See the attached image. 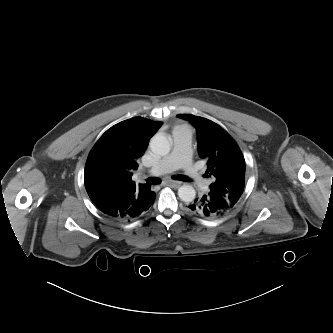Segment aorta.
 I'll list each match as a JSON object with an SVG mask.
<instances>
[{"instance_id":"762f6f07","label":"aorta","mask_w":333,"mask_h":333,"mask_svg":"<svg viewBox=\"0 0 333 333\" xmlns=\"http://www.w3.org/2000/svg\"><path fill=\"white\" fill-rule=\"evenodd\" d=\"M150 148L157 155H167L170 152L171 143L164 134H155L150 141ZM178 195L183 202L190 203L195 199L196 191L191 185H182L178 189Z\"/></svg>"}]
</instances>
